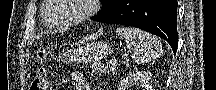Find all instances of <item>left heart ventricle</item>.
<instances>
[{"mask_svg": "<svg viewBox=\"0 0 216 90\" xmlns=\"http://www.w3.org/2000/svg\"><path fill=\"white\" fill-rule=\"evenodd\" d=\"M64 1L62 6V10H57L54 16L48 21L52 24L56 25H64L72 23L76 20V18L81 14L83 11V6L81 4L83 0H61Z\"/></svg>", "mask_w": 216, "mask_h": 90, "instance_id": "b2bd125f", "label": "left heart ventricle"}]
</instances>
